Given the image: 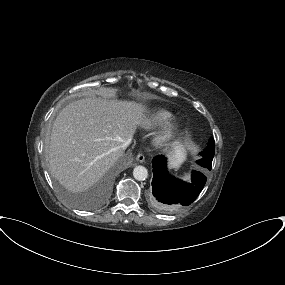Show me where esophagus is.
Returning <instances> with one entry per match:
<instances>
[{
    "label": "esophagus",
    "mask_w": 285,
    "mask_h": 285,
    "mask_svg": "<svg viewBox=\"0 0 285 285\" xmlns=\"http://www.w3.org/2000/svg\"><path fill=\"white\" fill-rule=\"evenodd\" d=\"M136 160H137L138 162H140V163H143V162L145 161V157H144L143 154H138V155L136 156Z\"/></svg>",
    "instance_id": "obj_1"
}]
</instances>
